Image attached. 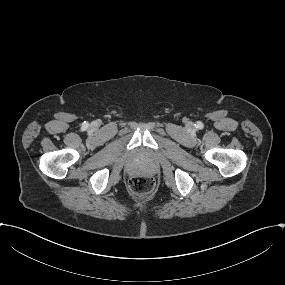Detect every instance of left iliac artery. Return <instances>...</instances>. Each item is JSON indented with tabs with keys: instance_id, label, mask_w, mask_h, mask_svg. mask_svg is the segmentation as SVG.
Returning a JSON list of instances; mask_svg holds the SVG:
<instances>
[{
	"instance_id": "obj_1",
	"label": "left iliac artery",
	"mask_w": 285,
	"mask_h": 285,
	"mask_svg": "<svg viewBox=\"0 0 285 285\" xmlns=\"http://www.w3.org/2000/svg\"><path fill=\"white\" fill-rule=\"evenodd\" d=\"M195 126H196L197 128H199V129L203 128V124H202V122H200V121H198V122L195 124Z\"/></svg>"
}]
</instances>
